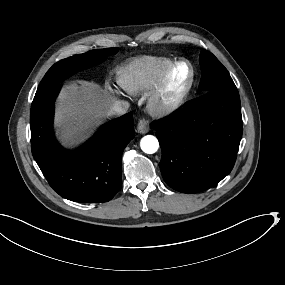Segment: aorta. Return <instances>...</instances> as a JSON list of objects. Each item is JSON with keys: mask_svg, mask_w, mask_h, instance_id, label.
I'll return each mask as SVG.
<instances>
[{"mask_svg": "<svg viewBox=\"0 0 285 285\" xmlns=\"http://www.w3.org/2000/svg\"><path fill=\"white\" fill-rule=\"evenodd\" d=\"M140 146L145 153L153 154L158 150L159 143L156 137L147 135L141 139Z\"/></svg>", "mask_w": 285, "mask_h": 285, "instance_id": "aorta-1", "label": "aorta"}]
</instances>
